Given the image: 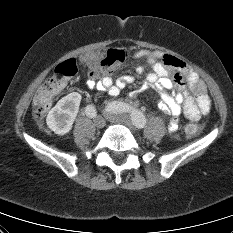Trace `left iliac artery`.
<instances>
[{
  "instance_id": "44dca946",
  "label": "left iliac artery",
  "mask_w": 233,
  "mask_h": 233,
  "mask_svg": "<svg viewBox=\"0 0 233 233\" xmlns=\"http://www.w3.org/2000/svg\"><path fill=\"white\" fill-rule=\"evenodd\" d=\"M106 110L113 113L129 112L132 122L137 128H144V126L146 125L145 116L140 111L133 109L131 106H129L126 103L123 102L109 103Z\"/></svg>"
}]
</instances>
